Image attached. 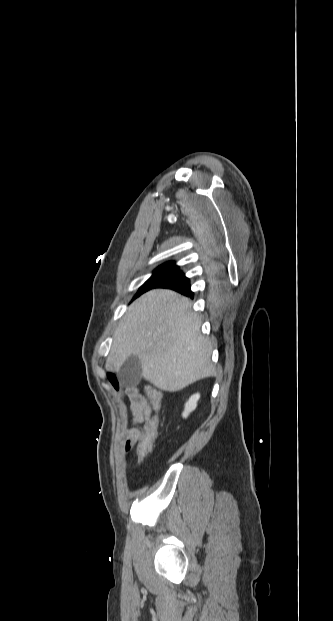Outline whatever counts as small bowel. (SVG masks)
Wrapping results in <instances>:
<instances>
[{
  "label": "small bowel",
  "instance_id": "small-bowel-1",
  "mask_svg": "<svg viewBox=\"0 0 333 621\" xmlns=\"http://www.w3.org/2000/svg\"><path fill=\"white\" fill-rule=\"evenodd\" d=\"M107 378L113 390L121 393L129 400V412L131 416V427L127 430V440L125 451H129L134 446L140 436V424H144L153 414V407L149 397L150 387L146 389V395L140 393L138 388L132 386L127 387L123 391L116 376L111 372H107Z\"/></svg>",
  "mask_w": 333,
  "mask_h": 621
}]
</instances>
